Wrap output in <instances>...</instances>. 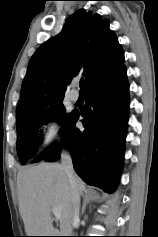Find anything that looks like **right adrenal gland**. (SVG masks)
Instances as JSON below:
<instances>
[{"label": "right adrenal gland", "instance_id": "2a0ac1e0", "mask_svg": "<svg viewBox=\"0 0 158 237\" xmlns=\"http://www.w3.org/2000/svg\"><path fill=\"white\" fill-rule=\"evenodd\" d=\"M99 198H100V197H99L98 194L85 195V196H84V201H83V206H82V209H81V215L84 214L85 208H86L87 204H89V203L92 202V201L99 200Z\"/></svg>", "mask_w": 158, "mask_h": 237}]
</instances>
